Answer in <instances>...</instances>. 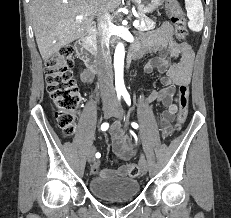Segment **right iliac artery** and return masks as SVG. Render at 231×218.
I'll return each mask as SVG.
<instances>
[{
  "label": "right iliac artery",
  "instance_id": "82829eb1",
  "mask_svg": "<svg viewBox=\"0 0 231 218\" xmlns=\"http://www.w3.org/2000/svg\"><path fill=\"white\" fill-rule=\"evenodd\" d=\"M121 94H118V98L120 99ZM109 127V124L107 122L103 123L101 125V130L106 131ZM101 154L99 152L96 153V158H100Z\"/></svg>",
  "mask_w": 231,
  "mask_h": 218
}]
</instances>
